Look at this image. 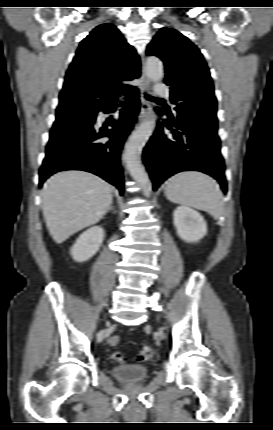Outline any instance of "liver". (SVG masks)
Wrapping results in <instances>:
<instances>
[{"label": "liver", "instance_id": "liver-1", "mask_svg": "<svg viewBox=\"0 0 273 430\" xmlns=\"http://www.w3.org/2000/svg\"><path fill=\"white\" fill-rule=\"evenodd\" d=\"M42 199L46 226L53 240L61 244L99 222L112 204L111 186L87 171H61L46 181Z\"/></svg>", "mask_w": 273, "mask_h": 430}]
</instances>
